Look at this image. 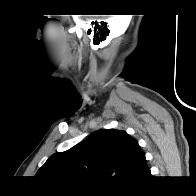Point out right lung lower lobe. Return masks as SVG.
Returning <instances> with one entry per match:
<instances>
[{
  "mask_svg": "<svg viewBox=\"0 0 196 196\" xmlns=\"http://www.w3.org/2000/svg\"><path fill=\"white\" fill-rule=\"evenodd\" d=\"M149 176H150V175H148L147 178H149ZM147 178H146V179H147ZM139 184H141V183L134 184V185H130V186H137V185H139Z\"/></svg>",
  "mask_w": 196,
  "mask_h": 196,
  "instance_id": "obj_1",
  "label": "right lung lower lobe"
}]
</instances>
